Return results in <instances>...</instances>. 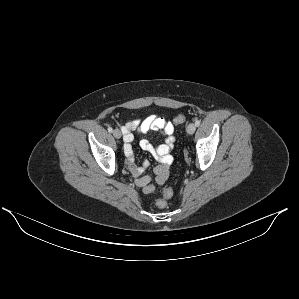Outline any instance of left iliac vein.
<instances>
[{
	"label": "left iliac vein",
	"mask_w": 299,
	"mask_h": 299,
	"mask_svg": "<svg viewBox=\"0 0 299 299\" xmlns=\"http://www.w3.org/2000/svg\"><path fill=\"white\" fill-rule=\"evenodd\" d=\"M196 125L194 123L188 124L186 131L188 134L192 135L195 132Z\"/></svg>",
	"instance_id": "4c4485c4"
}]
</instances>
